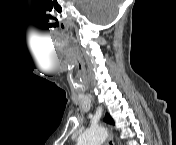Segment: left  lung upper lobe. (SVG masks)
<instances>
[{"instance_id":"obj_1","label":"left lung upper lobe","mask_w":176,"mask_h":145,"mask_svg":"<svg viewBox=\"0 0 176 145\" xmlns=\"http://www.w3.org/2000/svg\"><path fill=\"white\" fill-rule=\"evenodd\" d=\"M105 121L107 123H113V120H112V118L109 115L105 118Z\"/></svg>"}]
</instances>
